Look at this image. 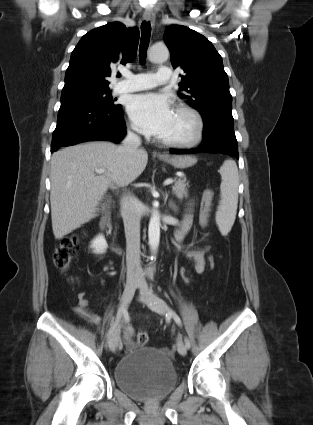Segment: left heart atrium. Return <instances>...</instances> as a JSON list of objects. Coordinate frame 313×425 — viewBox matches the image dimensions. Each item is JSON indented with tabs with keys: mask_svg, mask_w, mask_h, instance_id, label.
<instances>
[{
	"mask_svg": "<svg viewBox=\"0 0 313 425\" xmlns=\"http://www.w3.org/2000/svg\"><path fill=\"white\" fill-rule=\"evenodd\" d=\"M127 110L139 132L159 137L167 131L174 114L169 99L156 93L131 97Z\"/></svg>",
	"mask_w": 313,
	"mask_h": 425,
	"instance_id": "39dd6f15",
	"label": "left heart atrium"
}]
</instances>
